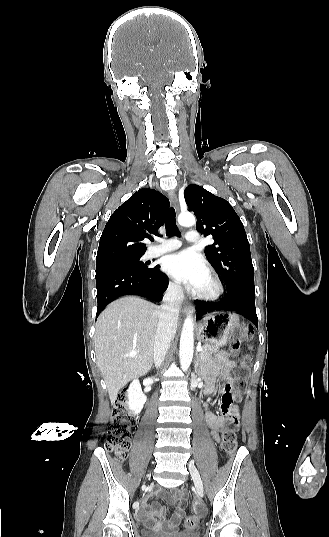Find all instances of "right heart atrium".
Here are the masks:
<instances>
[{"label":"right heart atrium","instance_id":"1","mask_svg":"<svg viewBox=\"0 0 329 537\" xmlns=\"http://www.w3.org/2000/svg\"><path fill=\"white\" fill-rule=\"evenodd\" d=\"M168 289L174 295H178L180 293L179 287L175 283L170 282Z\"/></svg>","mask_w":329,"mask_h":537}]
</instances>
